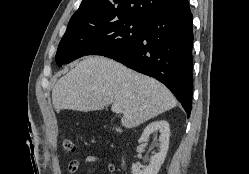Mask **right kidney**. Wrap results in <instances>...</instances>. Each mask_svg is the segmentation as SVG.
Listing matches in <instances>:
<instances>
[{"mask_svg": "<svg viewBox=\"0 0 249 174\" xmlns=\"http://www.w3.org/2000/svg\"><path fill=\"white\" fill-rule=\"evenodd\" d=\"M158 131L160 133L159 152L151 157L150 164L147 167H142L139 164H133L132 174H157L159 172L162 164L164 163V160L167 155L168 148H169V137H170L169 123L165 120L154 121L150 123L144 129L139 139V143L147 141L150 134H152L153 132H158Z\"/></svg>", "mask_w": 249, "mask_h": 174, "instance_id": "obj_1", "label": "right kidney"}]
</instances>
